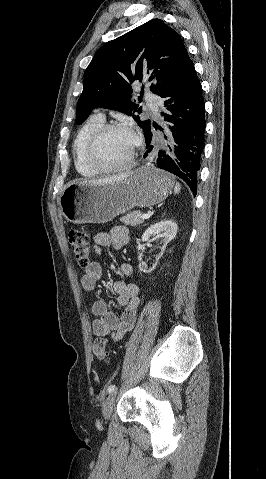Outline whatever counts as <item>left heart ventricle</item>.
<instances>
[{
    "instance_id": "left-heart-ventricle-1",
    "label": "left heart ventricle",
    "mask_w": 266,
    "mask_h": 479,
    "mask_svg": "<svg viewBox=\"0 0 266 479\" xmlns=\"http://www.w3.org/2000/svg\"><path fill=\"white\" fill-rule=\"evenodd\" d=\"M134 144L133 136L123 130L107 132L96 147V160L105 167L123 163L129 156Z\"/></svg>"
}]
</instances>
